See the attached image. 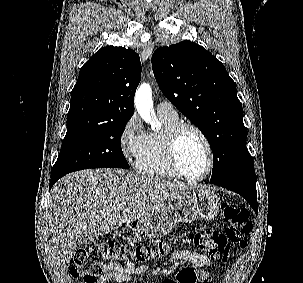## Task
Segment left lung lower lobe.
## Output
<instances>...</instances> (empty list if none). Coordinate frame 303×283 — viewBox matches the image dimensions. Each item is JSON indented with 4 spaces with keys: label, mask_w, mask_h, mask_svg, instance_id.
I'll use <instances>...</instances> for the list:
<instances>
[{
    "label": "left lung lower lobe",
    "mask_w": 303,
    "mask_h": 283,
    "mask_svg": "<svg viewBox=\"0 0 303 283\" xmlns=\"http://www.w3.org/2000/svg\"><path fill=\"white\" fill-rule=\"evenodd\" d=\"M214 185L230 189L232 191L237 192L246 201L250 204V206L257 213L258 205H257V195H256V181L252 179L231 181V182H221V183H212Z\"/></svg>",
    "instance_id": "left-lung-lower-lobe-1"
}]
</instances>
